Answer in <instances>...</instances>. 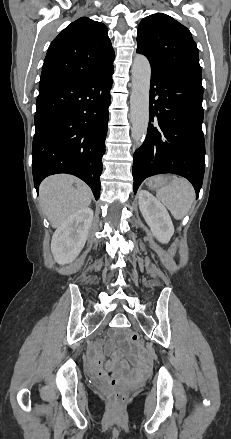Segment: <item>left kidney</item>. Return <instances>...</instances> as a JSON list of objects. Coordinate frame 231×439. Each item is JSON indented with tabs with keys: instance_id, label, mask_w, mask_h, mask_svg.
Returning <instances> with one entry per match:
<instances>
[{
	"instance_id": "1",
	"label": "left kidney",
	"mask_w": 231,
	"mask_h": 439,
	"mask_svg": "<svg viewBox=\"0 0 231 439\" xmlns=\"http://www.w3.org/2000/svg\"><path fill=\"white\" fill-rule=\"evenodd\" d=\"M139 208L153 235L161 243H168L174 226L166 208L148 191L139 192Z\"/></svg>"
}]
</instances>
